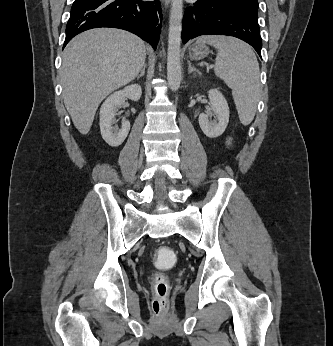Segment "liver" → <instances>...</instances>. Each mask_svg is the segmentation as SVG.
<instances>
[{
    "label": "liver",
    "instance_id": "6515ba94",
    "mask_svg": "<svg viewBox=\"0 0 333 346\" xmlns=\"http://www.w3.org/2000/svg\"><path fill=\"white\" fill-rule=\"evenodd\" d=\"M145 59V43L120 29H91L68 43L62 55L63 99L81 134L89 132L101 101L134 80Z\"/></svg>",
    "mask_w": 333,
    "mask_h": 346
}]
</instances>
